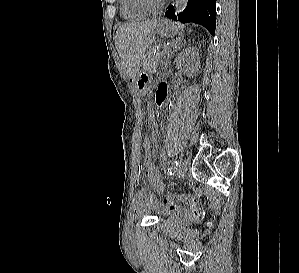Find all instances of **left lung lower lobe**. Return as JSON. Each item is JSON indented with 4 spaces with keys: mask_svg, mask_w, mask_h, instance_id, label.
I'll return each instance as SVG.
<instances>
[{
    "mask_svg": "<svg viewBox=\"0 0 299 273\" xmlns=\"http://www.w3.org/2000/svg\"><path fill=\"white\" fill-rule=\"evenodd\" d=\"M216 0H189L185 10L175 16L174 8L171 6L165 13L168 18L178 20L182 23L194 22L203 25L212 35L215 34Z\"/></svg>",
    "mask_w": 299,
    "mask_h": 273,
    "instance_id": "obj_1",
    "label": "left lung lower lobe"
}]
</instances>
